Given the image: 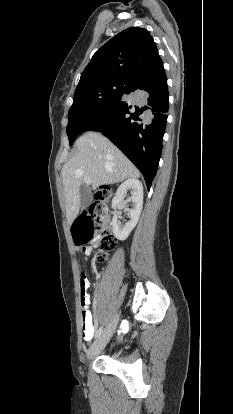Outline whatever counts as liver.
Masks as SVG:
<instances>
[{
	"mask_svg": "<svg viewBox=\"0 0 233 414\" xmlns=\"http://www.w3.org/2000/svg\"><path fill=\"white\" fill-rule=\"evenodd\" d=\"M75 147V155L64 164L61 171L69 224L79 214L82 184L91 185L96 190L101 185L140 176L132 162L100 133L82 135L76 140Z\"/></svg>",
	"mask_w": 233,
	"mask_h": 414,
	"instance_id": "1",
	"label": "liver"
}]
</instances>
